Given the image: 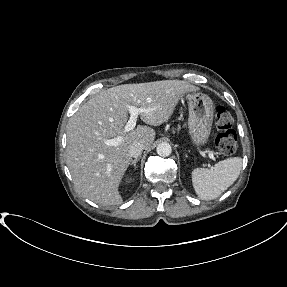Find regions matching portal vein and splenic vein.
Returning <instances> with one entry per match:
<instances>
[{
    "instance_id": "portal-vein-and-splenic-vein-1",
    "label": "portal vein and splenic vein",
    "mask_w": 287,
    "mask_h": 287,
    "mask_svg": "<svg viewBox=\"0 0 287 287\" xmlns=\"http://www.w3.org/2000/svg\"><path fill=\"white\" fill-rule=\"evenodd\" d=\"M128 111L130 113V117L124 127L125 132H129L135 128L139 113H148L150 110L145 109V108H137L135 106H129ZM121 142H122V138L116 137V138L105 140L104 144L107 146H118ZM208 156L210 159L212 160L214 159V155L212 153H209Z\"/></svg>"
}]
</instances>
